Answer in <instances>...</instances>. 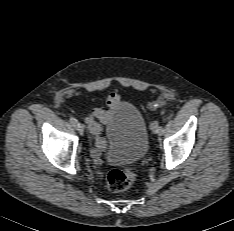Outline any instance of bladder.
Segmentation results:
<instances>
[{
	"mask_svg": "<svg viewBox=\"0 0 234 231\" xmlns=\"http://www.w3.org/2000/svg\"><path fill=\"white\" fill-rule=\"evenodd\" d=\"M112 144L109 162L129 164L139 161L148 149V131L139 109L128 101L117 104L106 127Z\"/></svg>",
	"mask_w": 234,
	"mask_h": 231,
	"instance_id": "1",
	"label": "bladder"
}]
</instances>
